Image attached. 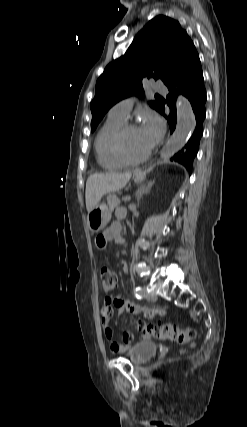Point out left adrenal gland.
I'll use <instances>...</instances> for the list:
<instances>
[{
    "instance_id": "a2214340",
    "label": "left adrenal gland",
    "mask_w": 247,
    "mask_h": 427,
    "mask_svg": "<svg viewBox=\"0 0 247 427\" xmlns=\"http://www.w3.org/2000/svg\"><path fill=\"white\" fill-rule=\"evenodd\" d=\"M152 186H153V183L150 182L147 186H145V187L140 188V189L137 190V192H136V200H137V202L140 201V199L142 198V196L144 194H147L148 192H150Z\"/></svg>"
}]
</instances>
